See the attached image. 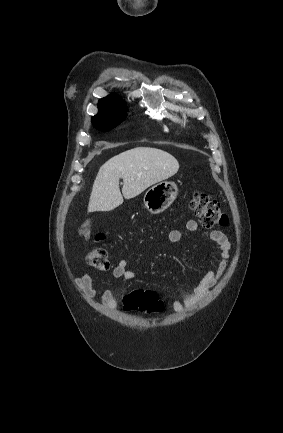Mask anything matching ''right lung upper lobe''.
<instances>
[{"label":"right lung upper lobe","mask_w":283,"mask_h":433,"mask_svg":"<svg viewBox=\"0 0 283 433\" xmlns=\"http://www.w3.org/2000/svg\"><path fill=\"white\" fill-rule=\"evenodd\" d=\"M98 108H99V112L97 115L114 113V112H127L125 103L122 102L115 95H109L101 99L98 103Z\"/></svg>","instance_id":"cb5924a9"}]
</instances>
